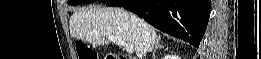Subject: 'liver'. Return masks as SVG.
Wrapping results in <instances>:
<instances>
[{"label": "liver", "instance_id": "liver-1", "mask_svg": "<svg viewBox=\"0 0 261 59\" xmlns=\"http://www.w3.org/2000/svg\"><path fill=\"white\" fill-rule=\"evenodd\" d=\"M150 33L148 41H144L138 31L131 26V16L123 8L90 6L77 10L70 18L71 36L96 45H108L109 36L119 37L135 48L138 59H143L151 52L160 37L156 30L146 24Z\"/></svg>", "mask_w": 261, "mask_h": 59}]
</instances>
